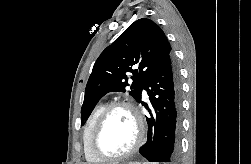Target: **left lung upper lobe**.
<instances>
[{"label": "left lung upper lobe", "instance_id": "1", "mask_svg": "<svg viewBox=\"0 0 251 164\" xmlns=\"http://www.w3.org/2000/svg\"><path fill=\"white\" fill-rule=\"evenodd\" d=\"M170 56L171 46L157 24L145 18L132 23L96 60L86 85L81 122L106 93L126 91L127 72L133 73L129 94L140 102L146 79Z\"/></svg>", "mask_w": 251, "mask_h": 164}]
</instances>
